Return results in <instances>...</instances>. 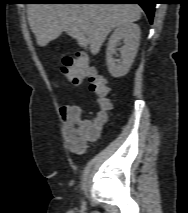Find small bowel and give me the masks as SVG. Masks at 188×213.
I'll list each match as a JSON object with an SVG mask.
<instances>
[{
    "label": "small bowel",
    "instance_id": "obj_1",
    "mask_svg": "<svg viewBox=\"0 0 188 213\" xmlns=\"http://www.w3.org/2000/svg\"><path fill=\"white\" fill-rule=\"evenodd\" d=\"M60 115L66 125L65 134L68 147L76 153H82L87 142L96 139L105 121V117L103 120L99 118L95 122L83 118L82 110L78 106H62ZM71 132L75 133L76 140L70 136ZM76 142L79 144H76Z\"/></svg>",
    "mask_w": 188,
    "mask_h": 213
}]
</instances>
